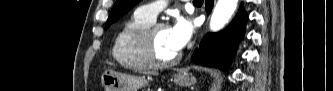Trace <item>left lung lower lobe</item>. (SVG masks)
I'll return each instance as SVG.
<instances>
[{"mask_svg": "<svg viewBox=\"0 0 333 91\" xmlns=\"http://www.w3.org/2000/svg\"><path fill=\"white\" fill-rule=\"evenodd\" d=\"M212 7L213 0H206L208 13ZM247 19L248 16L241 4L239 12L226 30L220 33H208L204 36L192 56V62L227 71L235 49L244 35Z\"/></svg>", "mask_w": 333, "mask_h": 91, "instance_id": "0a47b994", "label": "left lung lower lobe"}]
</instances>
